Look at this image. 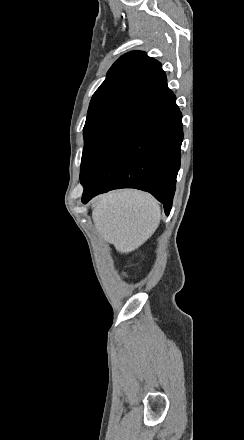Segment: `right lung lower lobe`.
Listing matches in <instances>:
<instances>
[{"label": "right lung lower lobe", "mask_w": 244, "mask_h": 440, "mask_svg": "<svg viewBox=\"0 0 244 440\" xmlns=\"http://www.w3.org/2000/svg\"><path fill=\"white\" fill-rule=\"evenodd\" d=\"M182 115L164 83L114 126L81 178L82 202L118 188L150 192L168 215L180 168Z\"/></svg>", "instance_id": "obj_1"}]
</instances>
